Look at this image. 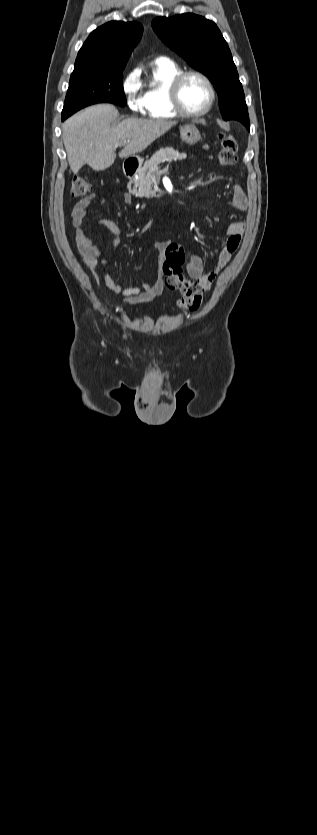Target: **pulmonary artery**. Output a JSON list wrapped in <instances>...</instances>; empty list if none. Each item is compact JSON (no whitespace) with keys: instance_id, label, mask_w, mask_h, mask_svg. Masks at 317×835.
Masks as SVG:
<instances>
[{"instance_id":"pulmonary-artery-1","label":"pulmonary artery","mask_w":317,"mask_h":835,"mask_svg":"<svg viewBox=\"0 0 317 835\" xmlns=\"http://www.w3.org/2000/svg\"><path fill=\"white\" fill-rule=\"evenodd\" d=\"M157 59H165V58H157ZM157 59H156V60H157Z\"/></svg>"}]
</instances>
